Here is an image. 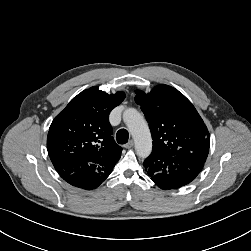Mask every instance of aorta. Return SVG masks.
I'll return each mask as SVG.
<instances>
[{
	"label": "aorta",
	"instance_id": "obj_1",
	"mask_svg": "<svg viewBox=\"0 0 251 251\" xmlns=\"http://www.w3.org/2000/svg\"><path fill=\"white\" fill-rule=\"evenodd\" d=\"M123 121L127 125L135 142V150L139 157L146 158L152 150V138L147 122L134 108L123 113Z\"/></svg>",
	"mask_w": 251,
	"mask_h": 251
}]
</instances>
